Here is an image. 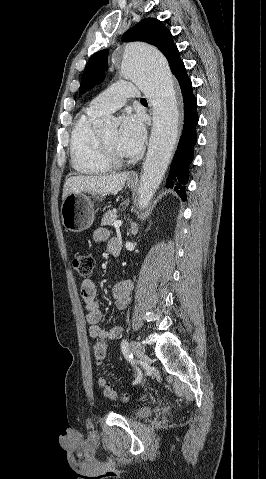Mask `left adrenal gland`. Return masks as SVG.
<instances>
[{
    "mask_svg": "<svg viewBox=\"0 0 266 479\" xmlns=\"http://www.w3.org/2000/svg\"><path fill=\"white\" fill-rule=\"evenodd\" d=\"M130 231H131L132 234L135 233V228L133 227V225L131 226V230H130Z\"/></svg>",
    "mask_w": 266,
    "mask_h": 479,
    "instance_id": "obj_1",
    "label": "left adrenal gland"
}]
</instances>
